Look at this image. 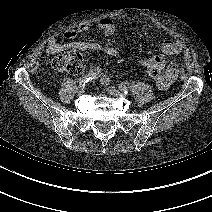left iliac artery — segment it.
I'll return each instance as SVG.
<instances>
[{
    "label": "left iliac artery",
    "mask_w": 212,
    "mask_h": 212,
    "mask_svg": "<svg viewBox=\"0 0 212 212\" xmlns=\"http://www.w3.org/2000/svg\"><path fill=\"white\" fill-rule=\"evenodd\" d=\"M101 82H102V84H104V85H108V84L111 82V79H110L109 76L103 75L102 78H101ZM118 88H119L121 91H123L125 94L128 93V88H127V86L125 85V83L119 82V83H118Z\"/></svg>",
    "instance_id": "44dca946"
}]
</instances>
